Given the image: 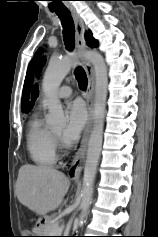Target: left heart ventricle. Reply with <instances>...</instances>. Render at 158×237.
<instances>
[{
    "label": "left heart ventricle",
    "instance_id": "1",
    "mask_svg": "<svg viewBox=\"0 0 158 237\" xmlns=\"http://www.w3.org/2000/svg\"><path fill=\"white\" fill-rule=\"evenodd\" d=\"M56 134H59L61 131L60 130H56L54 131Z\"/></svg>",
    "mask_w": 158,
    "mask_h": 237
}]
</instances>
